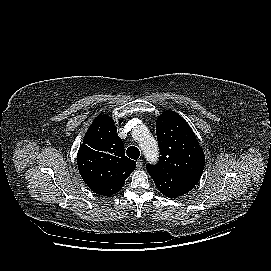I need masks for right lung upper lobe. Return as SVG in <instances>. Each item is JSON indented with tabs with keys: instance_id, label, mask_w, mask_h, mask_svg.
I'll use <instances>...</instances> for the list:
<instances>
[{
	"instance_id": "1",
	"label": "right lung upper lobe",
	"mask_w": 271,
	"mask_h": 271,
	"mask_svg": "<svg viewBox=\"0 0 271 271\" xmlns=\"http://www.w3.org/2000/svg\"><path fill=\"white\" fill-rule=\"evenodd\" d=\"M77 164L88 187L111 189L105 196L118 192L136 167V162L125 156L114 120L105 114L98 115L86 132Z\"/></svg>"
}]
</instances>
